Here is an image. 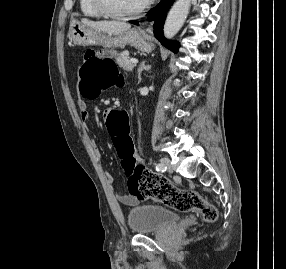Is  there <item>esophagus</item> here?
<instances>
[{
	"label": "esophagus",
	"mask_w": 286,
	"mask_h": 269,
	"mask_svg": "<svg viewBox=\"0 0 286 269\" xmlns=\"http://www.w3.org/2000/svg\"><path fill=\"white\" fill-rule=\"evenodd\" d=\"M146 31H147L148 33L152 34V33H153V27H152V26H148V27L146 28Z\"/></svg>",
	"instance_id": "esophagus-1"
}]
</instances>
